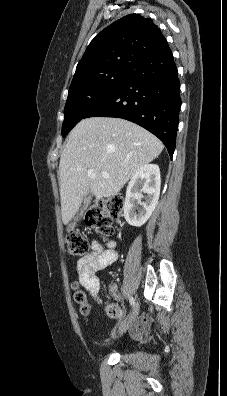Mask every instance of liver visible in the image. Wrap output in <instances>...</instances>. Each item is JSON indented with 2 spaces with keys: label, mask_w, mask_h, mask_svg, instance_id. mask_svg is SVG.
Instances as JSON below:
<instances>
[{
  "label": "liver",
  "mask_w": 227,
  "mask_h": 396,
  "mask_svg": "<svg viewBox=\"0 0 227 396\" xmlns=\"http://www.w3.org/2000/svg\"><path fill=\"white\" fill-rule=\"evenodd\" d=\"M163 143L144 128L114 117L81 120L70 132L59 162L61 214L67 225L90 192L111 197L134 173L152 162ZM89 169L95 178L87 175ZM102 172L109 174L108 178Z\"/></svg>",
  "instance_id": "liver-1"
}]
</instances>
